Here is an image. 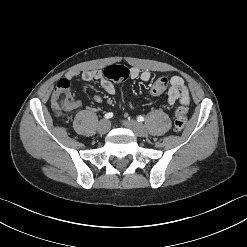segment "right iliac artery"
Masks as SVG:
<instances>
[{"mask_svg":"<svg viewBox=\"0 0 247 247\" xmlns=\"http://www.w3.org/2000/svg\"><path fill=\"white\" fill-rule=\"evenodd\" d=\"M112 117H113V113H111V112L105 114V118H106V119H110V118H112Z\"/></svg>","mask_w":247,"mask_h":247,"instance_id":"right-iliac-artery-1","label":"right iliac artery"}]
</instances>
